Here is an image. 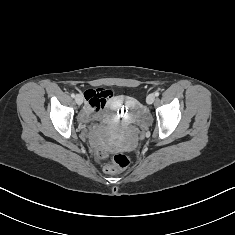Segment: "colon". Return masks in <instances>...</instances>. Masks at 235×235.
Segmentation results:
<instances>
[{"label": "colon", "mask_w": 235, "mask_h": 235, "mask_svg": "<svg viewBox=\"0 0 235 235\" xmlns=\"http://www.w3.org/2000/svg\"><path fill=\"white\" fill-rule=\"evenodd\" d=\"M110 95H111L110 92L105 93L101 98V102L105 104L107 100L109 99ZM100 158L103 160H106L107 156L105 153L101 152ZM128 165H129V159L126 155L116 154L109 160V162L104 166L103 169L107 173H114V172H119L121 170H124Z\"/></svg>", "instance_id": "obj_1"}]
</instances>
